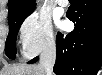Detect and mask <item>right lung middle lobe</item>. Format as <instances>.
<instances>
[{"label":"right lung middle lobe","mask_w":102,"mask_h":75,"mask_svg":"<svg viewBox=\"0 0 102 75\" xmlns=\"http://www.w3.org/2000/svg\"><path fill=\"white\" fill-rule=\"evenodd\" d=\"M32 11H27L12 16H8L9 34L6 40L5 53L10 59H15L16 56V37L22 22Z\"/></svg>","instance_id":"right-lung-middle-lobe-1"}]
</instances>
